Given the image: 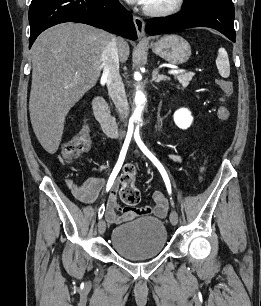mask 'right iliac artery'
<instances>
[{
	"label": "right iliac artery",
	"mask_w": 261,
	"mask_h": 306,
	"mask_svg": "<svg viewBox=\"0 0 261 306\" xmlns=\"http://www.w3.org/2000/svg\"><path fill=\"white\" fill-rule=\"evenodd\" d=\"M132 132L133 130H129L128 133H127V136H126V139L124 141V144H123V147H122V150L120 152V155H119V159L117 161V164L108 180V184H107V190H109L114 182V179L116 178L123 162H124V159H125V156H126V153H127V150H128V147H129V143H130V140H131V137H132ZM104 211H105V206L104 204H102V206L100 207L99 209V212H98V217L99 219H101L104 215Z\"/></svg>",
	"instance_id": "1"
}]
</instances>
